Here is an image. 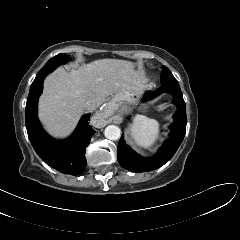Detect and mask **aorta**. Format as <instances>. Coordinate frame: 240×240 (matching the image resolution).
Masks as SVG:
<instances>
[{
	"instance_id": "762f6f07",
	"label": "aorta",
	"mask_w": 240,
	"mask_h": 240,
	"mask_svg": "<svg viewBox=\"0 0 240 240\" xmlns=\"http://www.w3.org/2000/svg\"><path fill=\"white\" fill-rule=\"evenodd\" d=\"M104 135L109 140H118L121 136V130L116 125H109L105 128Z\"/></svg>"
}]
</instances>
